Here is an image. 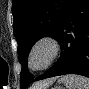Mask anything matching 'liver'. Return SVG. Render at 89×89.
<instances>
[{
    "instance_id": "obj_1",
    "label": "liver",
    "mask_w": 89,
    "mask_h": 89,
    "mask_svg": "<svg viewBox=\"0 0 89 89\" xmlns=\"http://www.w3.org/2000/svg\"><path fill=\"white\" fill-rule=\"evenodd\" d=\"M55 80H56V78L48 79L47 81L43 82V84L38 85V86H34L33 89H47V87L49 85H51Z\"/></svg>"
}]
</instances>
